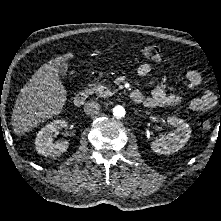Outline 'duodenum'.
I'll return each mask as SVG.
<instances>
[{
    "mask_svg": "<svg viewBox=\"0 0 221 221\" xmlns=\"http://www.w3.org/2000/svg\"><path fill=\"white\" fill-rule=\"evenodd\" d=\"M86 98H87V94L85 92L78 93L74 98V105L75 106L83 105ZM129 98H130L131 101L137 103L141 99V94L138 90H132L129 93Z\"/></svg>",
    "mask_w": 221,
    "mask_h": 221,
    "instance_id": "1",
    "label": "duodenum"
}]
</instances>
